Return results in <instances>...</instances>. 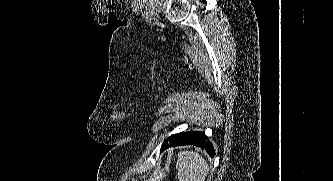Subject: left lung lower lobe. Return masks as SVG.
<instances>
[{
    "instance_id": "0a47b994",
    "label": "left lung lower lobe",
    "mask_w": 333,
    "mask_h": 181,
    "mask_svg": "<svg viewBox=\"0 0 333 181\" xmlns=\"http://www.w3.org/2000/svg\"><path fill=\"white\" fill-rule=\"evenodd\" d=\"M195 145L200 147L201 149H205L210 156L214 154V149L209 140H207V136L204 132L199 131H191L186 133H181L172 141L163 142L161 150L166 149L168 147H175V146H183V145Z\"/></svg>"
}]
</instances>
